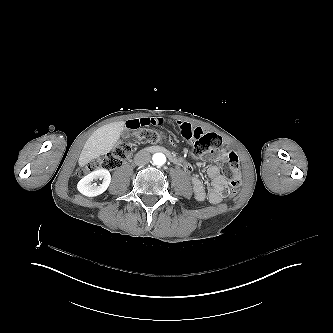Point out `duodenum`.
Listing matches in <instances>:
<instances>
[{
  "label": "duodenum",
  "mask_w": 333,
  "mask_h": 333,
  "mask_svg": "<svg viewBox=\"0 0 333 333\" xmlns=\"http://www.w3.org/2000/svg\"><path fill=\"white\" fill-rule=\"evenodd\" d=\"M145 151L146 152H153V153H163V154L167 155L174 163H176V164L179 163V159L164 147L152 146V147L146 148Z\"/></svg>",
  "instance_id": "410a0bca"
}]
</instances>
